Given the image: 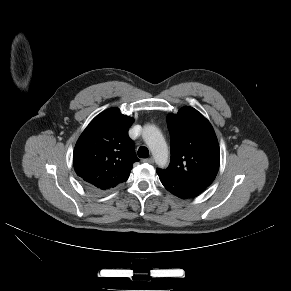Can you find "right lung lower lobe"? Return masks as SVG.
I'll return each mask as SVG.
<instances>
[{
	"instance_id": "right-lung-lower-lobe-1",
	"label": "right lung lower lobe",
	"mask_w": 291,
	"mask_h": 291,
	"mask_svg": "<svg viewBox=\"0 0 291 291\" xmlns=\"http://www.w3.org/2000/svg\"><path fill=\"white\" fill-rule=\"evenodd\" d=\"M84 184L91 190H97L96 188H94L93 186H91L90 184H87L84 182Z\"/></svg>"
}]
</instances>
